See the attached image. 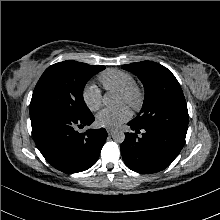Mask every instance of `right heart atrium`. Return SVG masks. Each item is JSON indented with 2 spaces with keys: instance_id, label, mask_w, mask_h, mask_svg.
I'll list each match as a JSON object with an SVG mask.
<instances>
[{
  "instance_id": "1",
  "label": "right heart atrium",
  "mask_w": 220,
  "mask_h": 220,
  "mask_svg": "<svg viewBox=\"0 0 220 220\" xmlns=\"http://www.w3.org/2000/svg\"><path fill=\"white\" fill-rule=\"evenodd\" d=\"M82 99L91 111H96L102 105V93L95 84H88L82 92Z\"/></svg>"
}]
</instances>
